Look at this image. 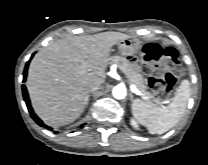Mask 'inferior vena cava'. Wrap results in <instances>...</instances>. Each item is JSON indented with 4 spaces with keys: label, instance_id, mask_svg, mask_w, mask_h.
<instances>
[{
    "label": "inferior vena cava",
    "instance_id": "602c4592",
    "mask_svg": "<svg viewBox=\"0 0 208 165\" xmlns=\"http://www.w3.org/2000/svg\"><path fill=\"white\" fill-rule=\"evenodd\" d=\"M98 89H100V85H98V84H92V85L89 86L88 92H94V91H96Z\"/></svg>",
    "mask_w": 208,
    "mask_h": 165
}]
</instances>
